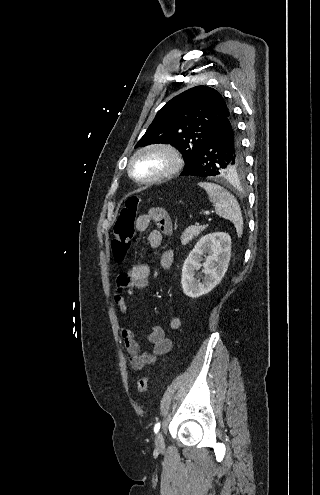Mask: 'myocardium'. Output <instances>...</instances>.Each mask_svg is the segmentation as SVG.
<instances>
[{"label":"myocardium","instance_id":"obj_1","mask_svg":"<svg viewBox=\"0 0 320 495\" xmlns=\"http://www.w3.org/2000/svg\"><path fill=\"white\" fill-rule=\"evenodd\" d=\"M152 153L160 154L166 157L168 161L166 168L157 175L152 177L141 178L136 176L133 171V165L135 161L143 155L152 154ZM181 167H182V158L176 148H174L169 144L155 143V144L146 145L136 150L129 159L127 165V171L129 176L140 184H155L172 177L173 175L179 172Z\"/></svg>","mask_w":320,"mask_h":495}]
</instances>
